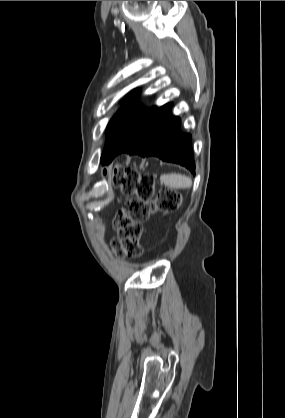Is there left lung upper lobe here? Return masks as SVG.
I'll return each instance as SVG.
<instances>
[{
  "label": "left lung upper lobe",
  "mask_w": 285,
  "mask_h": 418,
  "mask_svg": "<svg viewBox=\"0 0 285 418\" xmlns=\"http://www.w3.org/2000/svg\"><path fill=\"white\" fill-rule=\"evenodd\" d=\"M137 94L138 90H133L128 96L126 105L108 123L106 129L108 136L104 149L106 154L101 156V163H110L115 156L122 153L157 110L156 106L140 110L133 105L132 102Z\"/></svg>",
  "instance_id": "left-lung-upper-lobe-1"
}]
</instances>
